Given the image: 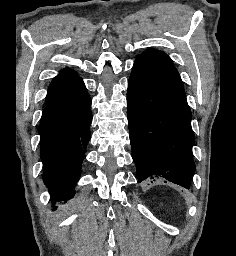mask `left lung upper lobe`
<instances>
[{
    "label": "left lung upper lobe",
    "instance_id": "1",
    "mask_svg": "<svg viewBox=\"0 0 236 256\" xmlns=\"http://www.w3.org/2000/svg\"><path fill=\"white\" fill-rule=\"evenodd\" d=\"M139 70L168 86L184 92L180 75L174 67L171 59L158 50H146L135 60L134 68Z\"/></svg>",
    "mask_w": 236,
    "mask_h": 256
}]
</instances>
